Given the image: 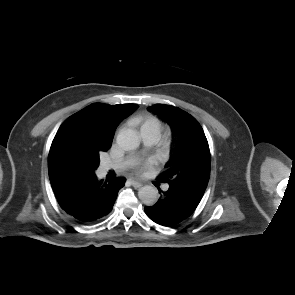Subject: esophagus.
<instances>
[{
  "label": "esophagus",
  "instance_id": "obj_1",
  "mask_svg": "<svg viewBox=\"0 0 295 295\" xmlns=\"http://www.w3.org/2000/svg\"><path fill=\"white\" fill-rule=\"evenodd\" d=\"M131 184L135 187V188H139L142 186V183L141 182H138L134 179H131Z\"/></svg>",
  "mask_w": 295,
  "mask_h": 295
}]
</instances>
